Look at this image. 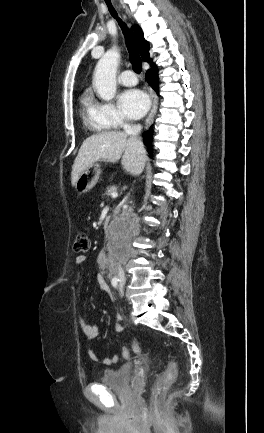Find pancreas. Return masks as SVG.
Instances as JSON below:
<instances>
[{
	"label": "pancreas",
	"mask_w": 264,
	"mask_h": 433,
	"mask_svg": "<svg viewBox=\"0 0 264 433\" xmlns=\"http://www.w3.org/2000/svg\"><path fill=\"white\" fill-rule=\"evenodd\" d=\"M116 191H117V187L112 185V186L107 187V190H106L104 195L110 196L113 192H116Z\"/></svg>",
	"instance_id": "obj_1"
}]
</instances>
